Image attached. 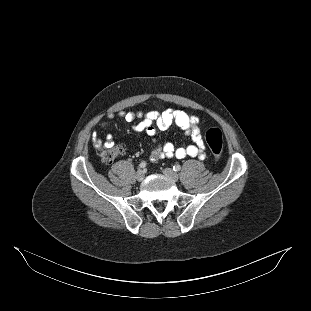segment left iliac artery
Returning <instances> with one entry per match:
<instances>
[{"instance_id": "left-iliac-artery-1", "label": "left iliac artery", "mask_w": 311, "mask_h": 311, "mask_svg": "<svg viewBox=\"0 0 311 311\" xmlns=\"http://www.w3.org/2000/svg\"><path fill=\"white\" fill-rule=\"evenodd\" d=\"M180 169H181V166L178 165V164L173 166V170L176 171V172L180 171Z\"/></svg>"}]
</instances>
